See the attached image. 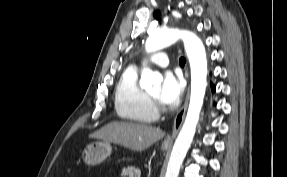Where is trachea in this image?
Listing matches in <instances>:
<instances>
[{
	"instance_id": "trachea-1",
	"label": "trachea",
	"mask_w": 287,
	"mask_h": 177,
	"mask_svg": "<svg viewBox=\"0 0 287 177\" xmlns=\"http://www.w3.org/2000/svg\"><path fill=\"white\" fill-rule=\"evenodd\" d=\"M179 63H180V65H185L186 59L184 57H180Z\"/></svg>"
}]
</instances>
